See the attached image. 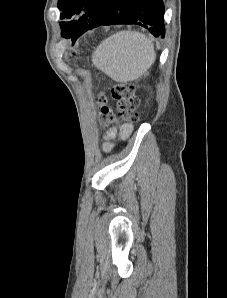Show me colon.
<instances>
[{
	"label": "colon",
	"mask_w": 227,
	"mask_h": 298,
	"mask_svg": "<svg viewBox=\"0 0 227 298\" xmlns=\"http://www.w3.org/2000/svg\"><path fill=\"white\" fill-rule=\"evenodd\" d=\"M111 96L116 101L117 113L107 105V98L103 94L97 97L100 106L98 118L101 124L110 125L113 123L126 122L135 123L138 121V108L140 100L135 94L134 85L131 83H118L111 88Z\"/></svg>",
	"instance_id": "5ec220e1"
}]
</instances>
